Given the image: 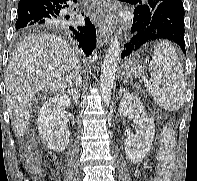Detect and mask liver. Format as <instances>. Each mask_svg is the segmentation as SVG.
<instances>
[{"instance_id":"1","label":"liver","mask_w":197,"mask_h":181,"mask_svg":"<svg viewBox=\"0 0 197 181\" xmlns=\"http://www.w3.org/2000/svg\"><path fill=\"white\" fill-rule=\"evenodd\" d=\"M80 71L79 60L61 37L33 34L18 43L5 76L6 103L17 137L29 132L30 110L39 91L61 93Z\"/></svg>"}]
</instances>
